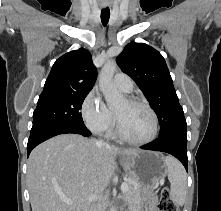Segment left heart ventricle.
<instances>
[{"label":"left heart ventricle","mask_w":221,"mask_h":211,"mask_svg":"<svg viewBox=\"0 0 221 211\" xmlns=\"http://www.w3.org/2000/svg\"><path fill=\"white\" fill-rule=\"evenodd\" d=\"M124 133L134 140L148 138L153 129V120L148 110L139 105H133L124 100L116 109Z\"/></svg>","instance_id":"left-heart-ventricle-1"}]
</instances>
